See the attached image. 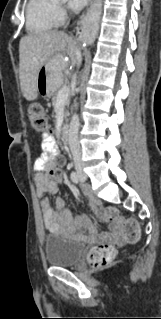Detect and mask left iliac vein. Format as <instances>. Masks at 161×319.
<instances>
[{"instance_id":"1","label":"left iliac vein","mask_w":161,"mask_h":319,"mask_svg":"<svg viewBox=\"0 0 161 319\" xmlns=\"http://www.w3.org/2000/svg\"><path fill=\"white\" fill-rule=\"evenodd\" d=\"M85 180V176L83 174H81V181Z\"/></svg>"}]
</instances>
